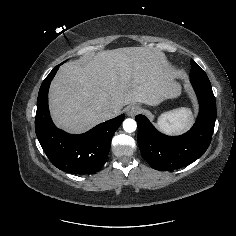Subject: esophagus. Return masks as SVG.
Returning <instances> with one entry per match:
<instances>
[{
	"label": "esophagus",
	"mask_w": 236,
	"mask_h": 236,
	"mask_svg": "<svg viewBox=\"0 0 236 236\" xmlns=\"http://www.w3.org/2000/svg\"><path fill=\"white\" fill-rule=\"evenodd\" d=\"M141 111V107L138 105H132L130 107H128L126 114L129 117H134L135 115H137L139 112Z\"/></svg>",
	"instance_id": "1"
}]
</instances>
